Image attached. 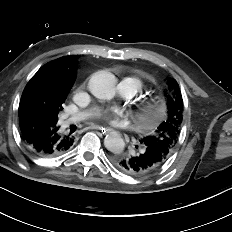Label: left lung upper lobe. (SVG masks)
Masks as SVG:
<instances>
[{
  "mask_svg": "<svg viewBox=\"0 0 232 232\" xmlns=\"http://www.w3.org/2000/svg\"><path fill=\"white\" fill-rule=\"evenodd\" d=\"M169 91L165 92L167 98V118L155 133L140 139V146L152 147L161 151L168 157L174 149L180 134L184 104L182 94L176 80H168Z\"/></svg>",
  "mask_w": 232,
  "mask_h": 232,
  "instance_id": "obj_1",
  "label": "left lung upper lobe"
}]
</instances>
